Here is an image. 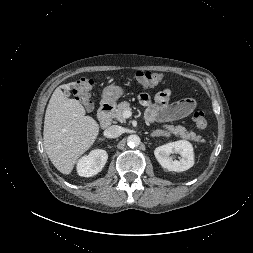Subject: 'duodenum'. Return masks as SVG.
I'll use <instances>...</instances> for the list:
<instances>
[{"mask_svg": "<svg viewBox=\"0 0 253 253\" xmlns=\"http://www.w3.org/2000/svg\"><path fill=\"white\" fill-rule=\"evenodd\" d=\"M114 110V106L111 102L105 101L101 104L98 110V119L100 126L106 128L111 124V117Z\"/></svg>", "mask_w": 253, "mask_h": 253, "instance_id": "obj_1", "label": "duodenum"}]
</instances>
